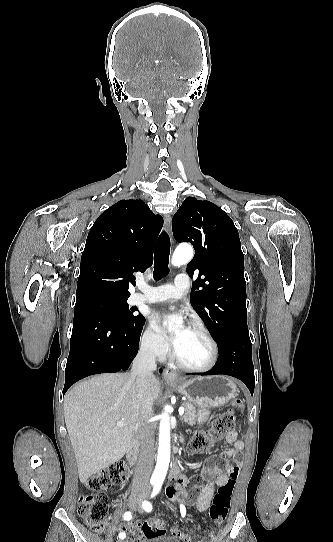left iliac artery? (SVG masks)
Returning a JSON list of instances; mask_svg holds the SVG:
<instances>
[{"mask_svg": "<svg viewBox=\"0 0 333 542\" xmlns=\"http://www.w3.org/2000/svg\"><path fill=\"white\" fill-rule=\"evenodd\" d=\"M161 486H162V482L154 483V488H153V492H152V494H151V497H154V496H156V495L159 493V491H160V489H161ZM142 507H143V509H144L145 511H147V512H151V511H152V505H151V503L148 502V501H144V502L142 503ZM180 511H181L182 517H184L185 514H186V509H185V507H184L183 505H180Z\"/></svg>", "mask_w": 333, "mask_h": 542, "instance_id": "1", "label": "left iliac artery"}]
</instances>
